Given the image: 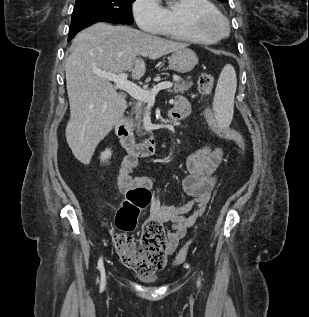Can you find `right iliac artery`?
Returning <instances> with one entry per match:
<instances>
[{
    "instance_id": "82829eb1",
    "label": "right iliac artery",
    "mask_w": 309,
    "mask_h": 317,
    "mask_svg": "<svg viewBox=\"0 0 309 317\" xmlns=\"http://www.w3.org/2000/svg\"><path fill=\"white\" fill-rule=\"evenodd\" d=\"M98 270L101 273V280L104 283L105 282V270H104L103 258L102 257H100V259L98 261Z\"/></svg>"
}]
</instances>
